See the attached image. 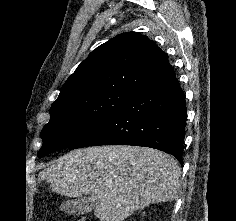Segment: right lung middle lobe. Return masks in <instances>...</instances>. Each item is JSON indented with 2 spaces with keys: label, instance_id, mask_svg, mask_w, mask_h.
<instances>
[{
  "label": "right lung middle lobe",
  "instance_id": "dd1d6c3e",
  "mask_svg": "<svg viewBox=\"0 0 236 221\" xmlns=\"http://www.w3.org/2000/svg\"><path fill=\"white\" fill-rule=\"evenodd\" d=\"M136 92L115 88L92 92L51 106V119L40 134L43 146L38 156L73 146Z\"/></svg>",
  "mask_w": 236,
  "mask_h": 221
}]
</instances>
